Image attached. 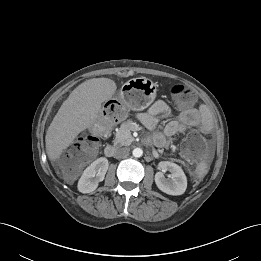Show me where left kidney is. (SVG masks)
Listing matches in <instances>:
<instances>
[{
    "label": "left kidney",
    "instance_id": "1",
    "mask_svg": "<svg viewBox=\"0 0 261 261\" xmlns=\"http://www.w3.org/2000/svg\"><path fill=\"white\" fill-rule=\"evenodd\" d=\"M160 172L155 174V183L164 193L169 195H182L187 188V178L182 168L177 164L169 161L159 163ZM169 171V178H165L164 173Z\"/></svg>",
    "mask_w": 261,
    "mask_h": 261
}]
</instances>
